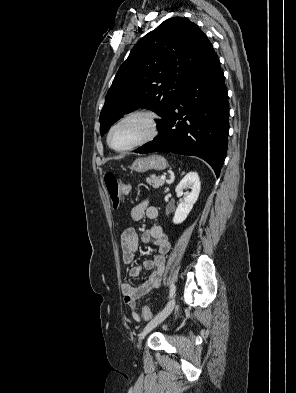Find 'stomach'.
I'll return each mask as SVG.
<instances>
[{"mask_svg": "<svg viewBox=\"0 0 296 393\" xmlns=\"http://www.w3.org/2000/svg\"><path fill=\"white\" fill-rule=\"evenodd\" d=\"M168 162L167 160L160 156V155H151L148 157H143V158H138L136 159L132 166L131 169L143 173L148 170H164L167 168Z\"/></svg>", "mask_w": 296, "mask_h": 393, "instance_id": "0dacf381", "label": "stomach"}]
</instances>
